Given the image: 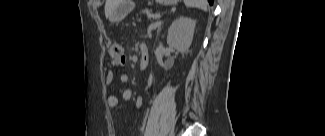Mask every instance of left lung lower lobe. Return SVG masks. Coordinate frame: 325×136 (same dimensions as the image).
<instances>
[{"instance_id": "obj_1", "label": "left lung lower lobe", "mask_w": 325, "mask_h": 136, "mask_svg": "<svg viewBox=\"0 0 325 136\" xmlns=\"http://www.w3.org/2000/svg\"><path fill=\"white\" fill-rule=\"evenodd\" d=\"M208 2L212 5L213 4V0H208Z\"/></svg>"}]
</instances>
